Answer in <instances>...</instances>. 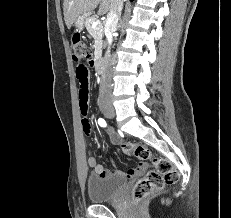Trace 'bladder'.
<instances>
[{"mask_svg": "<svg viewBox=\"0 0 231 218\" xmlns=\"http://www.w3.org/2000/svg\"><path fill=\"white\" fill-rule=\"evenodd\" d=\"M126 185L119 176L90 175L87 180V194L93 203H102L115 199Z\"/></svg>", "mask_w": 231, "mask_h": 218, "instance_id": "obj_1", "label": "bladder"}]
</instances>
